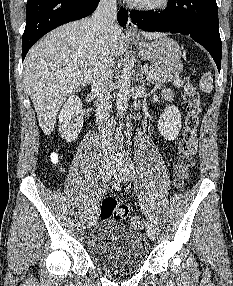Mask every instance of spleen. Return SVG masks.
Here are the masks:
<instances>
[{"instance_id":"spleen-1","label":"spleen","mask_w":233,"mask_h":286,"mask_svg":"<svg viewBox=\"0 0 233 286\" xmlns=\"http://www.w3.org/2000/svg\"><path fill=\"white\" fill-rule=\"evenodd\" d=\"M199 88L205 93H211L213 90V76L211 72L203 74L199 81Z\"/></svg>"}]
</instances>
